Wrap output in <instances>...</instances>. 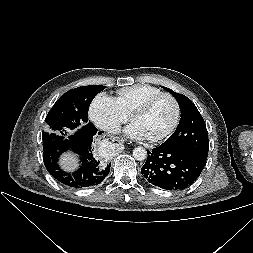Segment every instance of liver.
Segmentation results:
<instances>
[{
	"mask_svg": "<svg viewBox=\"0 0 253 253\" xmlns=\"http://www.w3.org/2000/svg\"><path fill=\"white\" fill-rule=\"evenodd\" d=\"M60 165L65 171H72L78 166V160L71 153L63 154L60 158Z\"/></svg>",
	"mask_w": 253,
	"mask_h": 253,
	"instance_id": "obj_1",
	"label": "liver"
}]
</instances>
